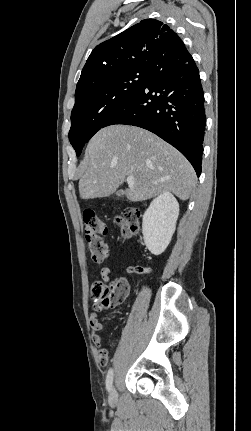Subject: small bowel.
Masks as SVG:
<instances>
[{
	"label": "small bowel",
	"mask_w": 251,
	"mask_h": 431,
	"mask_svg": "<svg viewBox=\"0 0 251 431\" xmlns=\"http://www.w3.org/2000/svg\"><path fill=\"white\" fill-rule=\"evenodd\" d=\"M149 271L148 268H143L142 273H147ZM112 274V271L108 267H104L100 271V275L103 281L110 282V276ZM103 307L95 305L94 306V312L90 316V326L93 331V341L96 347L98 348L97 357L99 361L97 362V367L99 369H106L108 367V362L110 360L109 355V347H102V336L100 335V331L102 329V323L100 322L97 312L101 311Z\"/></svg>",
	"instance_id": "small-bowel-1"
}]
</instances>
